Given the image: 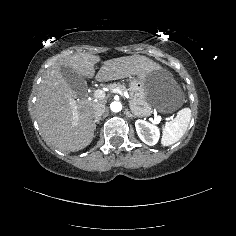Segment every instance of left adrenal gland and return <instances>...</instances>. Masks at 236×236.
<instances>
[{"mask_svg":"<svg viewBox=\"0 0 236 236\" xmlns=\"http://www.w3.org/2000/svg\"><path fill=\"white\" fill-rule=\"evenodd\" d=\"M125 112H126V115H127L128 117H135L134 115H132V114L128 111V109H126Z\"/></svg>","mask_w":236,"mask_h":236,"instance_id":"obj_1","label":"left adrenal gland"}]
</instances>
